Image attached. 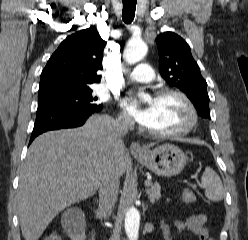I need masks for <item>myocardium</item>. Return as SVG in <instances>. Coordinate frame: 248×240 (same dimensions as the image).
Listing matches in <instances>:
<instances>
[{
    "label": "myocardium",
    "instance_id": "f54148a6",
    "mask_svg": "<svg viewBox=\"0 0 248 240\" xmlns=\"http://www.w3.org/2000/svg\"><path fill=\"white\" fill-rule=\"evenodd\" d=\"M167 95L177 96L178 98H180L184 102V104L188 110V113H189V121L187 122V124L184 127L180 128L178 130H175V131L158 132V131H154V130L149 129L148 132L151 135H153L155 137H159V138H177V137H181L183 135L188 134L198 124L199 117H198V112H197L195 105L193 104V102L191 101V99L189 98V96L185 92H183L177 88H170V87L162 88V89H159L158 91H156V93H155L156 98H160V97L167 96Z\"/></svg>",
    "mask_w": 248,
    "mask_h": 240
}]
</instances>
